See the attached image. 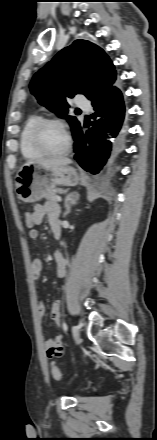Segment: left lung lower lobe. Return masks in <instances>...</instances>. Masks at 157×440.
I'll return each instance as SVG.
<instances>
[{"label": "left lung lower lobe", "instance_id": "0a47b994", "mask_svg": "<svg viewBox=\"0 0 157 440\" xmlns=\"http://www.w3.org/2000/svg\"><path fill=\"white\" fill-rule=\"evenodd\" d=\"M95 121L81 124L72 132L74 159L86 171L97 174L110 157L113 143L127 133L126 110L122 92L112 87L92 101ZM85 127V128H84Z\"/></svg>", "mask_w": 157, "mask_h": 440}]
</instances>
